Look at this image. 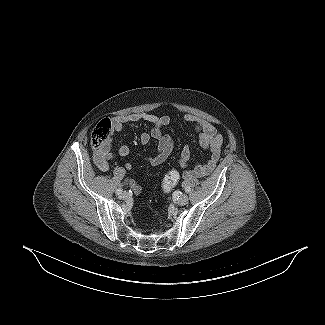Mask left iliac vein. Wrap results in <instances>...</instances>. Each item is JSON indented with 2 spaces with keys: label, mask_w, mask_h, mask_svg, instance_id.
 Instances as JSON below:
<instances>
[{
  "label": "left iliac vein",
  "mask_w": 325,
  "mask_h": 325,
  "mask_svg": "<svg viewBox=\"0 0 325 325\" xmlns=\"http://www.w3.org/2000/svg\"><path fill=\"white\" fill-rule=\"evenodd\" d=\"M189 201V198L186 194L180 195V197L177 199V204L183 206L186 205Z\"/></svg>",
  "instance_id": "left-iliac-vein-1"
}]
</instances>
